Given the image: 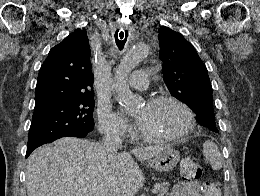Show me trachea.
<instances>
[{"label":"trachea","instance_id":"obj_1","mask_svg":"<svg viewBox=\"0 0 260 196\" xmlns=\"http://www.w3.org/2000/svg\"><path fill=\"white\" fill-rule=\"evenodd\" d=\"M118 34H119V38H118ZM127 37H128V32H116L115 34V41H116V45L119 48V50H122L125 46V43L127 41Z\"/></svg>","mask_w":260,"mask_h":196}]
</instances>
